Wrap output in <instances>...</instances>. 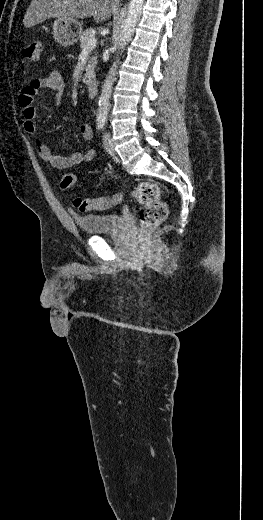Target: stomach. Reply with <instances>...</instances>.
Here are the masks:
<instances>
[{"mask_svg": "<svg viewBox=\"0 0 263 520\" xmlns=\"http://www.w3.org/2000/svg\"><path fill=\"white\" fill-rule=\"evenodd\" d=\"M53 35L62 46H71L82 34V25L77 20L57 18L53 23Z\"/></svg>", "mask_w": 263, "mask_h": 520, "instance_id": "1", "label": "stomach"}]
</instances>
